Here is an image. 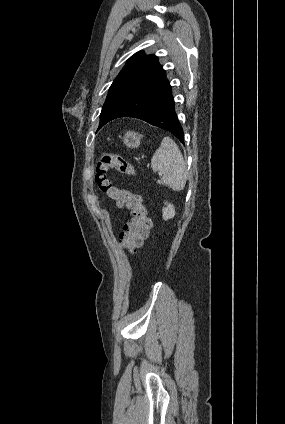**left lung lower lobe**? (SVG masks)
Instances as JSON below:
<instances>
[{"label":"left lung lower lobe","mask_w":285,"mask_h":424,"mask_svg":"<svg viewBox=\"0 0 285 424\" xmlns=\"http://www.w3.org/2000/svg\"><path fill=\"white\" fill-rule=\"evenodd\" d=\"M174 106L172 89L163 71L156 80L118 104L104 123L120 117L138 118L171 132L183 143V129Z\"/></svg>","instance_id":"left-lung-lower-lobe-1"}]
</instances>
